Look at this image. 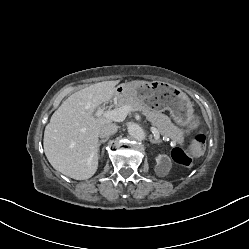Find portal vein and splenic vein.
<instances>
[{
  "mask_svg": "<svg viewBox=\"0 0 249 249\" xmlns=\"http://www.w3.org/2000/svg\"><path fill=\"white\" fill-rule=\"evenodd\" d=\"M134 111L135 110L131 106L125 105V106L119 107L118 109L109 110V111L98 109L96 111V116L98 117L104 116L112 121L121 122L127 117L128 113L134 112ZM150 130L153 133L154 137L156 139H159L160 135H159L158 130L155 127H150Z\"/></svg>",
  "mask_w": 249,
  "mask_h": 249,
  "instance_id": "portal-vein-and-splenic-vein-1",
  "label": "portal vein and splenic vein"
}]
</instances>
